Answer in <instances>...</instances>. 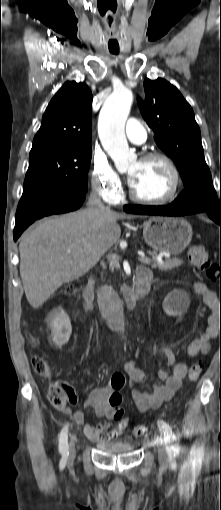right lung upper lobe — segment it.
I'll return each instance as SVG.
<instances>
[{
    "label": "right lung upper lobe",
    "instance_id": "1",
    "mask_svg": "<svg viewBox=\"0 0 221 510\" xmlns=\"http://www.w3.org/2000/svg\"><path fill=\"white\" fill-rule=\"evenodd\" d=\"M92 93L85 83L66 82L50 101L30 156L91 145Z\"/></svg>",
    "mask_w": 221,
    "mask_h": 510
}]
</instances>
